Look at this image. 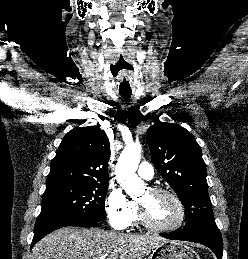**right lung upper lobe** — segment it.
Listing matches in <instances>:
<instances>
[{"label":"right lung upper lobe","instance_id":"obj_1","mask_svg":"<svg viewBox=\"0 0 248 259\" xmlns=\"http://www.w3.org/2000/svg\"><path fill=\"white\" fill-rule=\"evenodd\" d=\"M109 140L97 126L74 128L63 138L46 184L108 182Z\"/></svg>","mask_w":248,"mask_h":259}]
</instances>
